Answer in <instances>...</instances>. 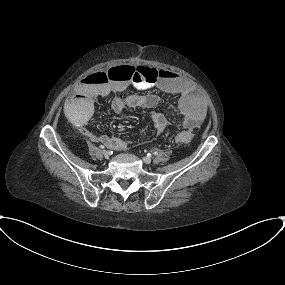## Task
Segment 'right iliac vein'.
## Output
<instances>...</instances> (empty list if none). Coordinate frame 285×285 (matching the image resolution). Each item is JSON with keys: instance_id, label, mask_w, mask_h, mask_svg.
<instances>
[{"instance_id": "right-iliac-vein-1", "label": "right iliac vein", "mask_w": 285, "mask_h": 285, "mask_svg": "<svg viewBox=\"0 0 285 285\" xmlns=\"http://www.w3.org/2000/svg\"><path fill=\"white\" fill-rule=\"evenodd\" d=\"M102 154L104 155V157H106V158H108L109 157V152L108 151H106V150H103L102 151Z\"/></svg>"}]
</instances>
